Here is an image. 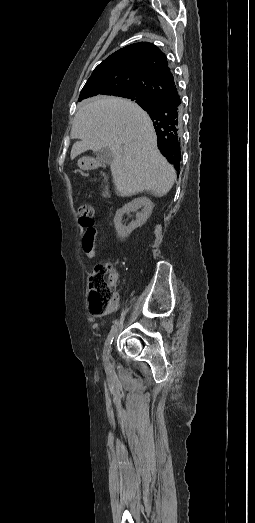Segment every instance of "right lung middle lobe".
<instances>
[{"mask_svg": "<svg viewBox=\"0 0 255 523\" xmlns=\"http://www.w3.org/2000/svg\"><path fill=\"white\" fill-rule=\"evenodd\" d=\"M116 96L128 98L135 102H140L141 105L146 109L151 108L154 104L153 99L150 96H148L147 93L140 90H127L117 94Z\"/></svg>", "mask_w": 255, "mask_h": 523, "instance_id": "dd1d6c3e", "label": "right lung middle lobe"}]
</instances>
